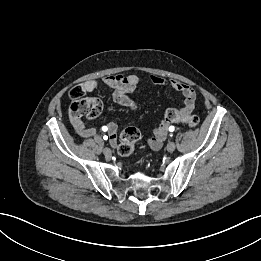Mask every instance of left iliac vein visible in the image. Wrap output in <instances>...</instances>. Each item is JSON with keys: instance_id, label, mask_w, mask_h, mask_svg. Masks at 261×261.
<instances>
[{"instance_id": "left-iliac-vein-1", "label": "left iliac vein", "mask_w": 261, "mask_h": 261, "mask_svg": "<svg viewBox=\"0 0 261 261\" xmlns=\"http://www.w3.org/2000/svg\"><path fill=\"white\" fill-rule=\"evenodd\" d=\"M176 148V145L173 141L168 142L166 149L168 152H173Z\"/></svg>"}]
</instances>
